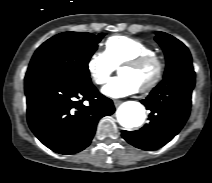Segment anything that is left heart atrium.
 Segmentation results:
<instances>
[{"instance_id":"39dd6f15","label":"left heart atrium","mask_w":212,"mask_h":183,"mask_svg":"<svg viewBox=\"0 0 212 183\" xmlns=\"http://www.w3.org/2000/svg\"><path fill=\"white\" fill-rule=\"evenodd\" d=\"M138 91V87L130 80L124 77H117L111 80L103 89L102 92L111 98H121L132 95Z\"/></svg>"}]
</instances>
